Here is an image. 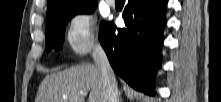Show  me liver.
<instances>
[{"label": "liver", "mask_w": 221, "mask_h": 102, "mask_svg": "<svg viewBox=\"0 0 221 102\" xmlns=\"http://www.w3.org/2000/svg\"><path fill=\"white\" fill-rule=\"evenodd\" d=\"M103 102L104 86L100 69L81 64L48 75L39 86L35 102Z\"/></svg>", "instance_id": "obj_1"}]
</instances>
